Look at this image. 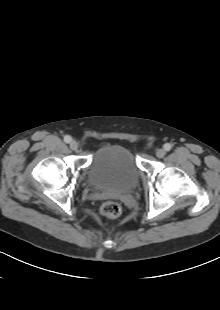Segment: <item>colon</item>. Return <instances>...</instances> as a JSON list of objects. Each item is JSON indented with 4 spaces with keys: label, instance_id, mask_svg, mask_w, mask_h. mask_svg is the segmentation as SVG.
<instances>
[{
    "label": "colon",
    "instance_id": "5ec220e1",
    "mask_svg": "<svg viewBox=\"0 0 220 310\" xmlns=\"http://www.w3.org/2000/svg\"><path fill=\"white\" fill-rule=\"evenodd\" d=\"M100 213L109 218H115L120 215L121 207L116 202H106L100 208Z\"/></svg>",
    "mask_w": 220,
    "mask_h": 310
}]
</instances>
